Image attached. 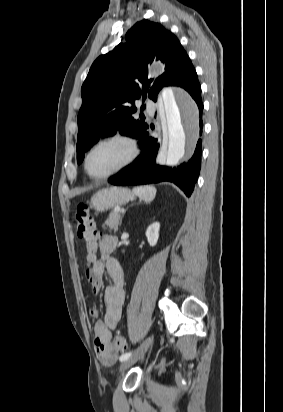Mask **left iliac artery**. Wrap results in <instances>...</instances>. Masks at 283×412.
<instances>
[{
    "label": "left iliac artery",
    "mask_w": 283,
    "mask_h": 412,
    "mask_svg": "<svg viewBox=\"0 0 283 412\" xmlns=\"http://www.w3.org/2000/svg\"><path fill=\"white\" fill-rule=\"evenodd\" d=\"M131 355H132V352L124 353V354H122V355L120 356L119 360H120L121 362L126 361L127 359L130 358Z\"/></svg>",
    "instance_id": "44dca946"
}]
</instances>
